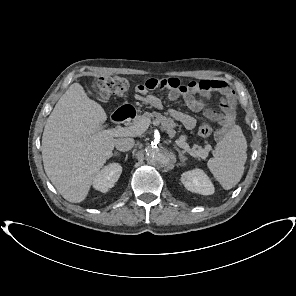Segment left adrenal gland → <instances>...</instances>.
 Listing matches in <instances>:
<instances>
[{"instance_id":"obj_1","label":"left adrenal gland","mask_w":296,"mask_h":296,"mask_svg":"<svg viewBox=\"0 0 296 296\" xmlns=\"http://www.w3.org/2000/svg\"><path fill=\"white\" fill-rule=\"evenodd\" d=\"M175 149H176V151L178 152V154H179V159H180V161L182 162V163H184L186 160H187V158L184 156V152L183 151H181L179 148H177V147H175Z\"/></svg>"}]
</instances>
